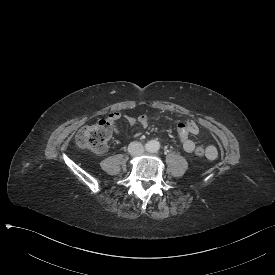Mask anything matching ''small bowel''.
<instances>
[{"label": "small bowel", "mask_w": 275, "mask_h": 275, "mask_svg": "<svg viewBox=\"0 0 275 275\" xmlns=\"http://www.w3.org/2000/svg\"><path fill=\"white\" fill-rule=\"evenodd\" d=\"M116 118L125 119V120H128L129 122H132L134 120V117L132 115H129L128 113L121 112L120 110L113 111L111 113V115H109L107 117V120L110 123H113ZM141 120H143L144 123L141 122ZM146 122H147L146 116L139 117V127L140 128H143L144 125L146 124ZM199 133H200V129H199L198 125L192 120L187 119V120H184L178 124V135H179L180 144L186 152L191 153L194 151L195 142L191 139V135H198ZM115 136L119 137L120 133L116 132ZM206 150L207 151H212V150L216 151V149L213 146H208ZM216 153H217V151H216ZM209 159H211V158H209Z\"/></svg>", "instance_id": "obj_1"}]
</instances>
